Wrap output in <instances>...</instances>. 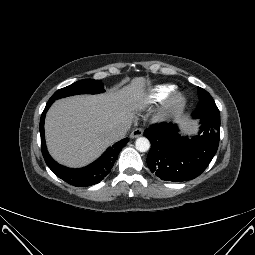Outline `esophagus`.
<instances>
[{"label":"esophagus","instance_id":"esophagus-1","mask_svg":"<svg viewBox=\"0 0 255 255\" xmlns=\"http://www.w3.org/2000/svg\"><path fill=\"white\" fill-rule=\"evenodd\" d=\"M143 134V130L140 128L134 129L131 134H130V138L134 139V138H138L140 136H142Z\"/></svg>","mask_w":255,"mask_h":255}]
</instances>
